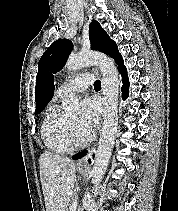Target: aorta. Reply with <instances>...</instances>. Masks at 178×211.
I'll return each instance as SVG.
<instances>
[{
	"instance_id": "aorta-1",
	"label": "aorta",
	"mask_w": 178,
	"mask_h": 211,
	"mask_svg": "<svg viewBox=\"0 0 178 211\" xmlns=\"http://www.w3.org/2000/svg\"><path fill=\"white\" fill-rule=\"evenodd\" d=\"M96 65L102 74V92L104 103L103 126L98 148L91 171L92 183L97 187L109 164L118 126V96L119 82L118 72L114 61L100 52H80L71 55L67 62L68 71H76L80 68ZM80 108L78 99L71 97L65 103V111L74 113Z\"/></svg>"
}]
</instances>
